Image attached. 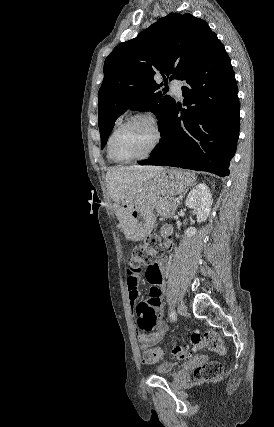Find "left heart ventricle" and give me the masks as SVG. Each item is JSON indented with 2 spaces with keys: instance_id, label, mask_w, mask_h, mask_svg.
<instances>
[{
  "instance_id": "b2bd125f",
  "label": "left heart ventricle",
  "mask_w": 274,
  "mask_h": 427,
  "mask_svg": "<svg viewBox=\"0 0 274 427\" xmlns=\"http://www.w3.org/2000/svg\"><path fill=\"white\" fill-rule=\"evenodd\" d=\"M156 132L146 120H136L122 127L114 136L116 154L130 159L145 154L154 144Z\"/></svg>"
}]
</instances>
